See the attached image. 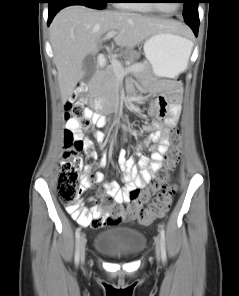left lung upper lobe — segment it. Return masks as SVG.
<instances>
[{
	"mask_svg": "<svg viewBox=\"0 0 239 296\" xmlns=\"http://www.w3.org/2000/svg\"><path fill=\"white\" fill-rule=\"evenodd\" d=\"M183 17L186 23L198 22V3L199 0H184Z\"/></svg>",
	"mask_w": 239,
	"mask_h": 296,
	"instance_id": "5c2ea615",
	"label": "left lung upper lobe"
}]
</instances>
